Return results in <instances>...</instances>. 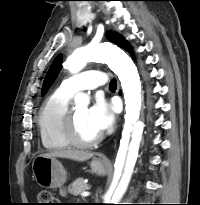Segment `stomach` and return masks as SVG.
<instances>
[{
    "instance_id": "1",
    "label": "stomach",
    "mask_w": 200,
    "mask_h": 205,
    "mask_svg": "<svg viewBox=\"0 0 200 205\" xmlns=\"http://www.w3.org/2000/svg\"><path fill=\"white\" fill-rule=\"evenodd\" d=\"M92 172L104 175L109 166L98 158H94L91 163ZM32 171L36 182L44 188H57L66 182V171L63 165L53 157L38 155L32 162Z\"/></svg>"
}]
</instances>
